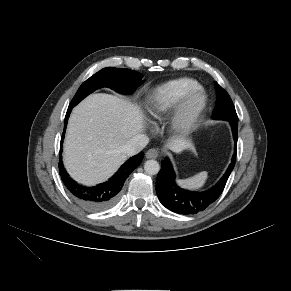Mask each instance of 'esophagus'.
Segmentation results:
<instances>
[{
    "mask_svg": "<svg viewBox=\"0 0 291 291\" xmlns=\"http://www.w3.org/2000/svg\"><path fill=\"white\" fill-rule=\"evenodd\" d=\"M159 156L158 149L151 148L146 152V158L148 159H155Z\"/></svg>",
    "mask_w": 291,
    "mask_h": 291,
    "instance_id": "1",
    "label": "esophagus"
}]
</instances>
